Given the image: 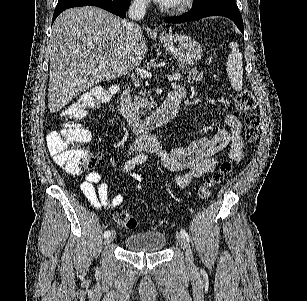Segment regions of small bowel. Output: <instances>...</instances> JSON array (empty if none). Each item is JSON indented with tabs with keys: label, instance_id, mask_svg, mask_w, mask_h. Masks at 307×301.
I'll list each match as a JSON object with an SVG mask.
<instances>
[{
	"label": "small bowel",
	"instance_id": "obj_1",
	"mask_svg": "<svg viewBox=\"0 0 307 301\" xmlns=\"http://www.w3.org/2000/svg\"><path fill=\"white\" fill-rule=\"evenodd\" d=\"M178 91L184 95L182 88H179ZM241 132L242 124L240 120L236 115L229 113L219 122L213 137L200 138L186 147L175 148L168 152L161 151V159L169 170L187 171L185 175L179 176L177 179L178 185L184 187L191 179L199 178L214 171L217 165V160L214 156L227 148L232 160L241 161L244 148ZM151 145L156 147L154 141L149 143L140 142L136 147L144 148ZM134 177L137 181L132 185V190L138 192L142 189L140 177L138 175H134ZM80 189L91 206L98 210L103 206L118 207L124 201L122 194L110 198L108 186L102 182V176L97 171L87 174L80 185Z\"/></svg>",
	"mask_w": 307,
	"mask_h": 301
}]
</instances>
